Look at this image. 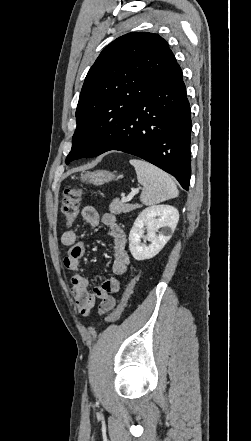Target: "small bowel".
<instances>
[{
    "label": "small bowel",
    "mask_w": 251,
    "mask_h": 441,
    "mask_svg": "<svg viewBox=\"0 0 251 441\" xmlns=\"http://www.w3.org/2000/svg\"><path fill=\"white\" fill-rule=\"evenodd\" d=\"M83 220L91 227L100 223L108 228L109 235L113 242L114 257L112 261L113 276L89 290V280L83 275L81 259L85 255V245L78 240L74 230H67L61 236V243L68 247V253L64 258V265L73 272L71 277V292L77 305L78 311L83 316H89L93 310L96 300H100L98 311L103 314L110 311L115 305L113 294L121 289L119 277L123 275L129 266L130 259L126 250V235L118 225L112 213L99 215L93 206H85L81 210Z\"/></svg>",
    "instance_id": "1"
}]
</instances>
